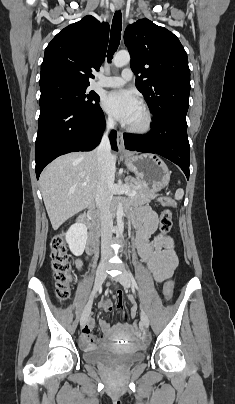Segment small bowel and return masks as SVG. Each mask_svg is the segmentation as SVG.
<instances>
[{"label":"small bowel","instance_id":"small-bowel-1","mask_svg":"<svg viewBox=\"0 0 235 404\" xmlns=\"http://www.w3.org/2000/svg\"><path fill=\"white\" fill-rule=\"evenodd\" d=\"M134 224L138 228L136 237V247L138 253L147 265L154 279L157 282H163L171 277L178 265V256L175 250L174 239L169 235H157L153 243L149 242L150 236L154 233L157 227V217L153 210L144 206L140 209L139 213L134 219ZM77 267L79 269L83 266V259H78ZM118 308H123L122 298L118 299ZM101 308L105 312H111L113 307L109 300H103ZM137 312V306L134 301L130 304V315L134 317ZM101 328V335L94 336L92 329L94 327V320L90 318L85 326L82 327V335L80 343L82 347L93 349L99 345H109L111 341L119 340L120 338L129 339L131 337V328L128 324L117 323L111 326L107 321L101 320L99 322Z\"/></svg>","mask_w":235,"mask_h":404}]
</instances>
